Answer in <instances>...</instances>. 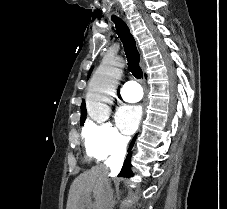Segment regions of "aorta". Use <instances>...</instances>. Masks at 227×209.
Here are the masks:
<instances>
[{
    "label": "aorta",
    "instance_id": "obj_1",
    "mask_svg": "<svg viewBox=\"0 0 227 209\" xmlns=\"http://www.w3.org/2000/svg\"><path fill=\"white\" fill-rule=\"evenodd\" d=\"M123 65V59L119 56L105 57L94 73L87 94V112L92 119L98 121L108 116V103L122 75Z\"/></svg>",
    "mask_w": 227,
    "mask_h": 209
}]
</instances>
